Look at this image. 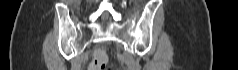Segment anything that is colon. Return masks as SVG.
I'll list each match as a JSON object with an SVG mask.
<instances>
[{
  "instance_id": "5ec220e1",
  "label": "colon",
  "mask_w": 238,
  "mask_h": 70,
  "mask_svg": "<svg viewBox=\"0 0 238 70\" xmlns=\"http://www.w3.org/2000/svg\"><path fill=\"white\" fill-rule=\"evenodd\" d=\"M108 62V56L104 49H97L94 52L93 60L89 66V70H104Z\"/></svg>"
}]
</instances>
